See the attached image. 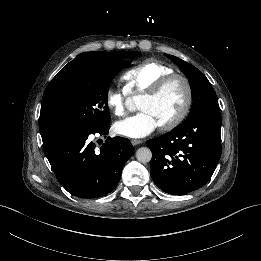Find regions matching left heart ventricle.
Here are the masks:
<instances>
[{
	"label": "left heart ventricle",
	"mask_w": 261,
	"mask_h": 261,
	"mask_svg": "<svg viewBox=\"0 0 261 261\" xmlns=\"http://www.w3.org/2000/svg\"><path fill=\"white\" fill-rule=\"evenodd\" d=\"M186 97L181 81L172 83L155 99L142 98L139 102L141 111L149 112L162 125L175 117L183 107Z\"/></svg>",
	"instance_id": "1"
}]
</instances>
